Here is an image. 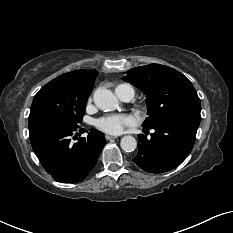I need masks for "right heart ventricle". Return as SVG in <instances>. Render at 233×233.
Here are the masks:
<instances>
[{
    "instance_id": "1",
    "label": "right heart ventricle",
    "mask_w": 233,
    "mask_h": 233,
    "mask_svg": "<svg viewBox=\"0 0 233 233\" xmlns=\"http://www.w3.org/2000/svg\"><path fill=\"white\" fill-rule=\"evenodd\" d=\"M125 86H129V85H119L116 89H119V88H122V87H125Z\"/></svg>"
}]
</instances>
